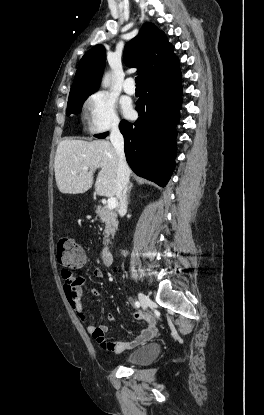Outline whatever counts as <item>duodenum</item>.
<instances>
[{"instance_id": "duodenum-1", "label": "duodenum", "mask_w": 264, "mask_h": 415, "mask_svg": "<svg viewBox=\"0 0 264 415\" xmlns=\"http://www.w3.org/2000/svg\"><path fill=\"white\" fill-rule=\"evenodd\" d=\"M103 263L107 266H112L113 264V252L110 248H106L102 252Z\"/></svg>"}]
</instances>
